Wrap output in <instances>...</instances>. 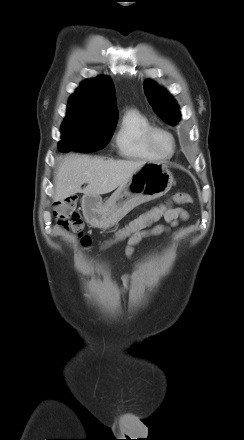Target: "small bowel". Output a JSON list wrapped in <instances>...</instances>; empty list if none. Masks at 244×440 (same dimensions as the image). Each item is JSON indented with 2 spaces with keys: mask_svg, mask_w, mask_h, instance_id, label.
Wrapping results in <instances>:
<instances>
[{
  "mask_svg": "<svg viewBox=\"0 0 244 440\" xmlns=\"http://www.w3.org/2000/svg\"><path fill=\"white\" fill-rule=\"evenodd\" d=\"M188 218V213L179 207H169L164 214L165 221L172 227L177 226L179 221L186 220ZM169 227L165 225H156L151 229L143 230L135 233L128 239V244L126 247V255L132 257L134 253L135 246L144 238L157 236L168 232ZM123 281L125 285L129 284L130 278L128 275L123 276Z\"/></svg>",
  "mask_w": 244,
  "mask_h": 440,
  "instance_id": "small-bowel-1",
  "label": "small bowel"
}]
</instances>
